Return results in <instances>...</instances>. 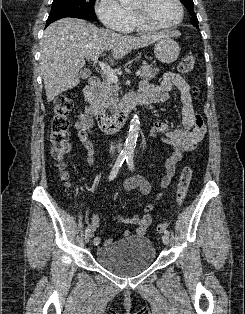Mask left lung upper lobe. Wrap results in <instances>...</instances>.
<instances>
[{
    "label": "left lung upper lobe",
    "mask_w": 245,
    "mask_h": 314,
    "mask_svg": "<svg viewBox=\"0 0 245 314\" xmlns=\"http://www.w3.org/2000/svg\"><path fill=\"white\" fill-rule=\"evenodd\" d=\"M184 6L188 9L190 15L192 16L191 18V23L199 29L198 27V19H197V16L196 14L194 13V10H193V7H194V3H193V0H180Z\"/></svg>",
    "instance_id": "obj_1"
}]
</instances>
